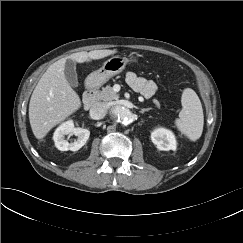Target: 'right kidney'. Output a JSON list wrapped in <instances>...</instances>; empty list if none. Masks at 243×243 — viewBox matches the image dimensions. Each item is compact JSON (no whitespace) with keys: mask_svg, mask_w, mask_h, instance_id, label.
<instances>
[{"mask_svg":"<svg viewBox=\"0 0 243 243\" xmlns=\"http://www.w3.org/2000/svg\"><path fill=\"white\" fill-rule=\"evenodd\" d=\"M65 135H75L77 136V140L69 143L64 139ZM90 136V132L87 129L74 127V123L72 120H69L63 124H61L54 132L53 140L55 142V146L61 151H77L79 150Z\"/></svg>","mask_w":243,"mask_h":243,"instance_id":"obj_1","label":"right kidney"}]
</instances>
